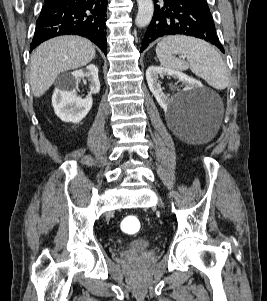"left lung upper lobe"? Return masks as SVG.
Here are the masks:
<instances>
[{"instance_id":"5c2ea615","label":"left lung upper lobe","mask_w":267,"mask_h":301,"mask_svg":"<svg viewBox=\"0 0 267 301\" xmlns=\"http://www.w3.org/2000/svg\"><path fill=\"white\" fill-rule=\"evenodd\" d=\"M197 1H199V2H200L201 4H203V5L208 6L206 0H197Z\"/></svg>"}]
</instances>
